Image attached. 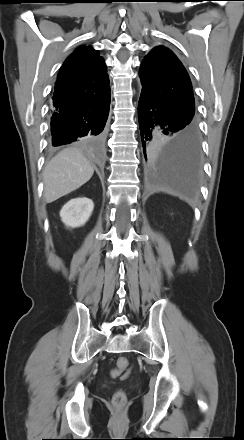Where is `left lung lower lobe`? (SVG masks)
<instances>
[{
	"label": "left lung lower lobe",
	"instance_id": "obj_1",
	"mask_svg": "<svg viewBox=\"0 0 244 440\" xmlns=\"http://www.w3.org/2000/svg\"><path fill=\"white\" fill-rule=\"evenodd\" d=\"M138 119L149 171L175 177L178 188L192 194L201 169L198 127L146 89L141 90Z\"/></svg>",
	"mask_w": 244,
	"mask_h": 440
}]
</instances>
